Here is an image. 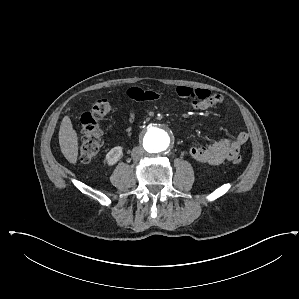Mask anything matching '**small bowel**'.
Masks as SVG:
<instances>
[{
	"instance_id": "obj_1",
	"label": "small bowel",
	"mask_w": 299,
	"mask_h": 299,
	"mask_svg": "<svg viewBox=\"0 0 299 299\" xmlns=\"http://www.w3.org/2000/svg\"><path fill=\"white\" fill-rule=\"evenodd\" d=\"M176 94L182 99L190 100L191 109L195 111H204L224 102L222 95L211 94L208 90L202 88L181 85L176 88ZM128 96L132 101H156L161 98L160 93L155 90H144L138 87L130 88ZM133 119L134 114L132 113L130 121ZM126 133L129 135L131 129L127 128ZM248 139V133L241 131L234 139H221L207 146H195L190 149L189 153L197 162L218 165L226 160H232L235 155H238Z\"/></svg>"
}]
</instances>
